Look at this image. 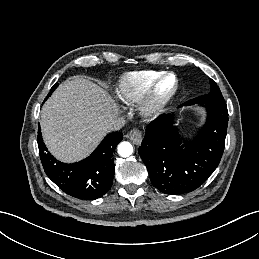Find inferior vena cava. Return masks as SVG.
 Wrapping results in <instances>:
<instances>
[{"mask_svg":"<svg viewBox=\"0 0 259 259\" xmlns=\"http://www.w3.org/2000/svg\"><path fill=\"white\" fill-rule=\"evenodd\" d=\"M125 124V119L123 117H114L108 124V129L110 131H117L121 129Z\"/></svg>","mask_w":259,"mask_h":259,"instance_id":"1","label":"inferior vena cava"}]
</instances>
